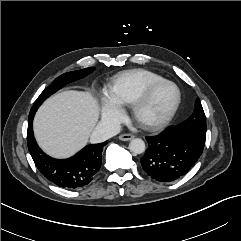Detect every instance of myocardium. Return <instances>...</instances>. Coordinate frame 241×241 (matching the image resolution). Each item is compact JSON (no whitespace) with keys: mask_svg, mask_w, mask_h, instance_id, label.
<instances>
[{"mask_svg":"<svg viewBox=\"0 0 241 241\" xmlns=\"http://www.w3.org/2000/svg\"><path fill=\"white\" fill-rule=\"evenodd\" d=\"M166 84L174 86L176 89V92H177V97H176V100H175L172 108L170 109V111L167 113V115L165 117H163L162 119H160L158 121H147V120L143 119L141 116V112H142L144 106L148 103V101L150 100V98L154 94V92L158 88H160L161 86L166 85ZM181 101H182V93H181L179 86L171 80L163 79L161 81H158V82H155V83L149 85L143 91V93L134 101V103L132 104V115H133V118L135 119V121L142 127L146 128L148 130H161V129L165 128L166 126H168L170 124V122L173 120V118L175 117V115L180 107Z\"/></svg>","mask_w":241,"mask_h":241,"instance_id":"myocardium-1","label":"myocardium"}]
</instances>
